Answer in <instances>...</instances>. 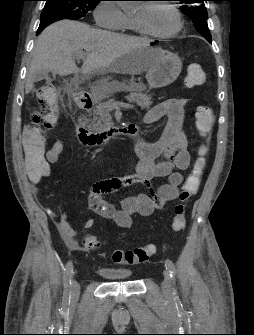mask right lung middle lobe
Listing matches in <instances>:
<instances>
[{"mask_svg": "<svg viewBox=\"0 0 254 335\" xmlns=\"http://www.w3.org/2000/svg\"><path fill=\"white\" fill-rule=\"evenodd\" d=\"M41 21L51 18L77 20L94 9L100 0H45Z\"/></svg>", "mask_w": 254, "mask_h": 335, "instance_id": "1", "label": "right lung middle lobe"}]
</instances>
